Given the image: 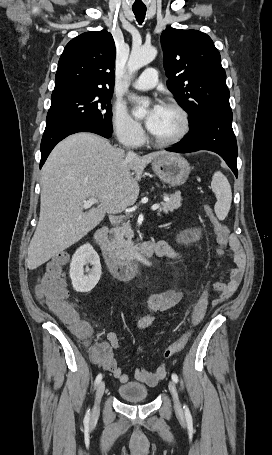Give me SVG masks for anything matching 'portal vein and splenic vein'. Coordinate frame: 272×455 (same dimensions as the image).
Masks as SVG:
<instances>
[{
  "instance_id": "portal-vein-and-splenic-vein-1",
  "label": "portal vein and splenic vein",
  "mask_w": 272,
  "mask_h": 455,
  "mask_svg": "<svg viewBox=\"0 0 272 455\" xmlns=\"http://www.w3.org/2000/svg\"><path fill=\"white\" fill-rule=\"evenodd\" d=\"M98 203V200L96 198H89L87 201L84 202L83 204V208L84 209H87L89 207H91L92 205ZM159 208V204H154L151 209L153 211L157 210Z\"/></svg>"
}]
</instances>
